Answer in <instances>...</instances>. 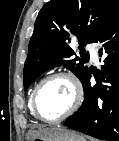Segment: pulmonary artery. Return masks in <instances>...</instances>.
Segmentation results:
<instances>
[{
	"label": "pulmonary artery",
	"mask_w": 119,
	"mask_h": 141,
	"mask_svg": "<svg viewBox=\"0 0 119 141\" xmlns=\"http://www.w3.org/2000/svg\"><path fill=\"white\" fill-rule=\"evenodd\" d=\"M87 50L90 53V57L93 62L98 63V54H97V49L94 45H87Z\"/></svg>",
	"instance_id": "obj_1"
}]
</instances>
